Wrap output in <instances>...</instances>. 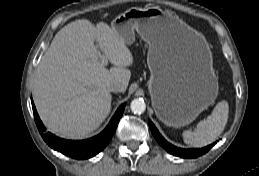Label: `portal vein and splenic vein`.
<instances>
[{
	"label": "portal vein and splenic vein",
	"instance_id": "obj_1",
	"mask_svg": "<svg viewBox=\"0 0 259 176\" xmlns=\"http://www.w3.org/2000/svg\"><path fill=\"white\" fill-rule=\"evenodd\" d=\"M101 63H102L103 66H106L107 63H108L107 58L105 56H103V55L101 56Z\"/></svg>",
	"mask_w": 259,
	"mask_h": 176
}]
</instances>
